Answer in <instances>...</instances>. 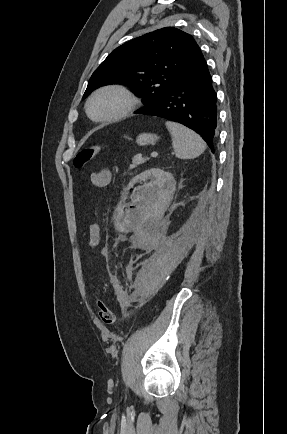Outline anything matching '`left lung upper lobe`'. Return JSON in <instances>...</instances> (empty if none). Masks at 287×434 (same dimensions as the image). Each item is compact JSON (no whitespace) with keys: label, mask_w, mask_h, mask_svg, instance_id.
<instances>
[{"label":"left lung upper lobe","mask_w":287,"mask_h":434,"mask_svg":"<svg viewBox=\"0 0 287 434\" xmlns=\"http://www.w3.org/2000/svg\"><path fill=\"white\" fill-rule=\"evenodd\" d=\"M201 57L191 35L174 27L158 29L113 50L92 74L83 99L100 86L125 84L151 106Z\"/></svg>","instance_id":"obj_1"}]
</instances>
